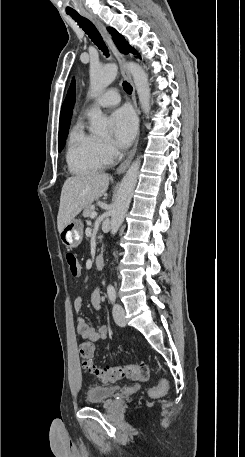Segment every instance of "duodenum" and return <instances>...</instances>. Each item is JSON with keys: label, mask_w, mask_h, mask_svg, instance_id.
<instances>
[{"label": "duodenum", "mask_w": 245, "mask_h": 457, "mask_svg": "<svg viewBox=\"0 0 245 457\" xmlns=\"http://www.w3.org/2000/svg\"><path fill=\"white\" fill-rule=\"evenodd\" d=\"M94 264L97 269H101L104 266V256L102 254L96 255Z\"/></svg>", "instance_id": "obj_1"}]
</instances>
